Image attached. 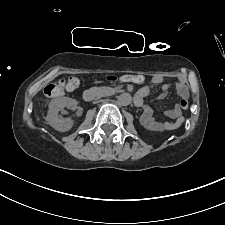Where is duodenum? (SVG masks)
<instances>
[{"instance_id":"1","label":"duodenum","mask_w":225,"mask_h":225,"mask_svg":"<svg viewBox=\"0 0 225 225\" xmlns=\"http://www.w3.org/2000/svg\"><path fill=\"white\" fill-rule=\"evenodd\" d=\"M101 95L100 91L95 90V89H87L83 93V97L86 101H92L96 98H98ZM134 102L137 105V103H141L140 100H138L137 97L134 98ZM138 106V105H137Z\"/></svg>"}]
</instances>
